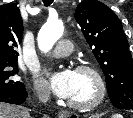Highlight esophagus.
<instances>
[{
	"mask_svg": "<svg viewBox=\"0 0 133 118\" xmlns=\"http://www.w3.org/2000/svg\"><path fill=\"white\" fill-rule=\"evenodd\" d=\"M59 117H60V118H78V115L63 110V111H61V112L59 113Z\"/></svg>",
	"mask_w": 133,
	"mask_h": 118,
	"instance_id": "esophagus-1",
	"label": "esophagus"
}]
</instances>
